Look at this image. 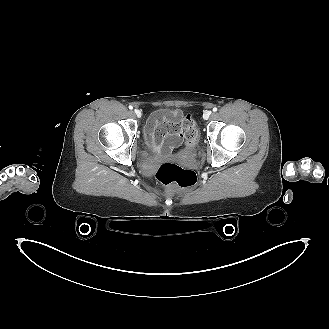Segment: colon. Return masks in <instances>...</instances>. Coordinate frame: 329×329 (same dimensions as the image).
<instances>
[{
  "label": "colon",
  "mask_w": 329,
  "mask_h": 329,
  "mask_svg": "<svg viewBox=\"0 0 329 329\" xmlns=\"http://www.w3.org/2000/svg\"><path fill=\"white\" fill-rule=\"evenodd\" d=\"M195 123V118L190 114L184 116L182 126L188 146L194 145L199 137V133L194 126ZM155 177L171 190L192 187L197 183V175L193 170L180 167L172 162L159 165L155 171Z\"/></svg>",
  "instance_id": "5ec220e1"
}]
</instances>
